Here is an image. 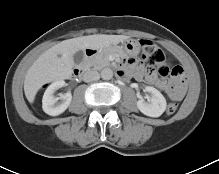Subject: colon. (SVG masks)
<instances>
[{
  "label": "colon",
  "instance_id": "1",
  "mask_svg": "<svg viewBox=\"0 0 219 174\" xmlns=\"http://www.w3.org/2000/svg\"><path fill=\"white\" fill-rule=\"evenodd\" d=\"M140 45L142 48V58L145 63L150 67H156L158 74L165 78L171 76L178 80H184V73L180 67L171 68L166 60L164 51L156 44L149 40H141ZM177 110V106L174 103L168 104L166 113L173 115Z\"/></svg>",
  "mask_w": 219,
  "mask_h": 174
}]
</instances>
